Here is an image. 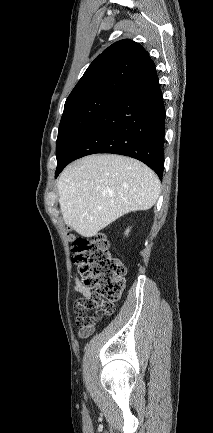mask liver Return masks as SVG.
Segmentation results:
<instances>
[{
    "instance_id": "1",
    "label": "liver",
    "mask_w": 213,
    "mask_h": 433,
    "mask_svg": "<svg viewBox=\"0 0 213 433\" xmlns=\"http://www.w3.org/2000/svg\"><path fill=\"white\" fill-rule=\"evenodd\" d=\"M57 189L66 224L93 237L124 214L150 209L159 197L160 180L138 160L90 155L64 169Z\"/></svg>"
}]
</instances>
